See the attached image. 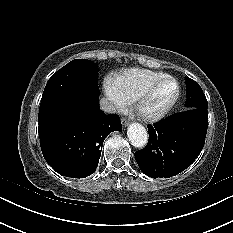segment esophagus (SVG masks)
<instances>
[{
    "mask_svg": "<svg viewBox=\"0 0 233 233\" xmlns=\"http://www.w3.org/2000/svg\"><path fill=\"white\" fill-rule=\"evenodd\" d=\"M121 122L124 127H127L129 125V121L126 118H123Z\"/></svg>",
    "mask_w": 233,
    "mask_h": 233,
    "instance_id": "esophagus-1",
    "label": "esophagus"
}]
</instances>
